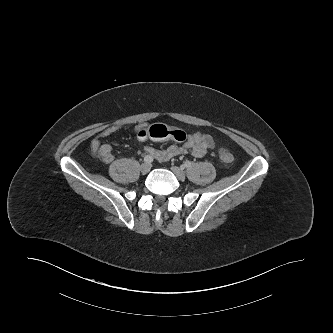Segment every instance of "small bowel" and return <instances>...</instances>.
Segmentation results:
<instances>
[{
  "instance_id": "c3829d8e",
  "label": "small bowel",
  "mask_w": 333,
  "mask_h": 333,
  "mask_svg": "<svg viewBox=\"0 0 333 333\" xmlns=\"http://www.w3.org/2000/svg\"><path fill=\"white\" fill-rule=\"evenodd\" d=\"M141 126L137 127L139 131ZM120 129L119 126H111L100 132L90 143L91 153L105 163H111L114 160L112 147L109 144H103L102 141L116 133ZM186 138L182 145H170L164 150L156 149L151 145H145V152L157 159L158 161H167L174 157H181L186 154H192L196 158H201L206 155L209 150L215 148L214 139L203 132L197 131L194 133H185Z\"/></svg>"
}]
</instances>
